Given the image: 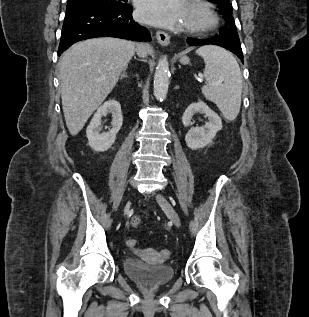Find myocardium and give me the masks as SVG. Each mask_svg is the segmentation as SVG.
<instances>
[{"instance_id":"f54148a6","label":"myocardium","mask_w":309,"mask_h":317,"mask_svg":"<svg viewBox=\"0 0 309 317\" xmlns=\"http://www.w3.org/2000/svg\"><path fill=\"white\" fill-rule=\"evenodd\" d=\"M190 8L200 16V20L187 23L185 31L190 34H205L216 28L219 19L213 6L204 0H192Z\"/></svg>"}]
</instances>
